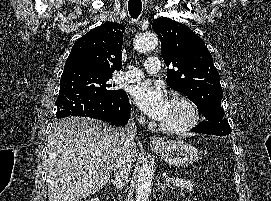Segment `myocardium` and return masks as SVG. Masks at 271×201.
<instances>
[{
	"instance_id": "f54148a6",
	"label": "myocardium",
	"mask_w": 271,
	"mask_h": 201,
	"mask_svg": "<svg viewBox=\"0 0 271 201\" xmlns=\"http://www.w3.org/2000/svg\"><path fill=\"white\" fill-rule=\"evenodd\" d=\"M171 103H176L185 108L187 112L186 121L177 126H169L163 122L160 124V128L163 132L168 134H183L194 129L200 122V112L197 105L188 97L180 94L172 96Z\"/></svg>"
}]
</instances>
